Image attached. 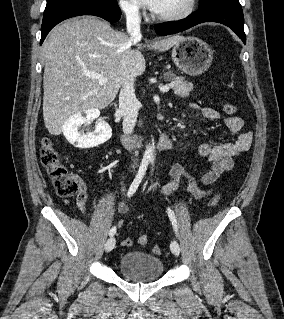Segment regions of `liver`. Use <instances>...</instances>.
<instances>
[{
  "label": "liver",
  "instance_id": "obj_1",
  "mask_svg": "<svg viewBox=\"0 0 284 319\" xmlns=\"http://www.w3.org/2000/svg\"><path fill=\"white\" fill-rule=\"evenodd\" d=\"M181 39L173 35L142 45L140 38L131 40L93 16L56 26L42 45L43 118L48 132L59 135L72 115L107 107L128 79L144 73L142 47L166 51ZM131 46L137 48L131 50ZM91 74L102 75L108 82L101 85Z\"/></svg>",
  "mask_w": 284,
  "mask_h": 319
}]
</instances>
